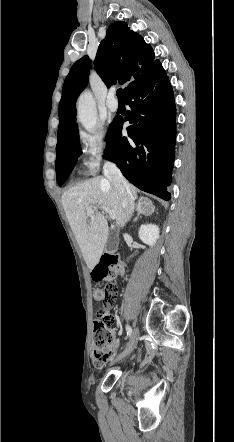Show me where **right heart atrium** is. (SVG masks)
Segmentation results:
<instances>
[{"label": "right heart atrium", "mask_w": 234, "mask_h": 442, "mask_svg": "<svg viewBox=\"0 0 234 442\" xmlns=\"http://www.w3.org/2000/svg\"><path fill=\"white\" fill-rule=\"evenodd\" d=\"M85 165L92 173L98 171L108 153V142L103 130L94 133H84L81 136Z\"/></svg>", "instance_id": "obj_1"}]
</instances>
